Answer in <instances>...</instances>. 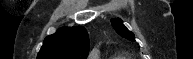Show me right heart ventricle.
I'll return each instance as SVG.
<instances>
[{"mask_svg":"<svg viewBox=\"0 0 193 59\" xmlns=\"http://www.w3.org/2000/svg\"><path fill=\"white\" fill-rule=\"evenodd\" d=\"M109 59H130V58H128L126 55H116Z\"/></svg>","mask_w":193,"mask_h":59,"instance_id":"1","label":"right heart ventricle"}]
</instances>
